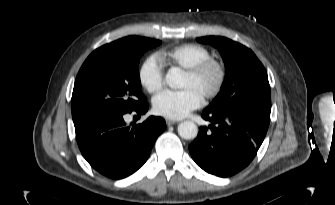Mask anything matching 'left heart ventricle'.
Segmentation results:
<instances>
[{
  "mask_svg": "<svg viewBox=\"0 0 335 205\" xmlns=\"http://www.w3.org/2000/svg\"><path fill=\"white\" fill-rule=\"evenodd\" d=\"M216 80V73L214 70L207 72L203 77L200 79H195L188 74L185 73L182 81V87L188 88L192 87L203 94L204 91L210 89Z\"/></svg>",
  "mask_w": 335,
  "mask_h": 205,
  "instance_id": "left-heart-ventricle-1",
  "label": "left heart ventricle"
}]
</instances>
